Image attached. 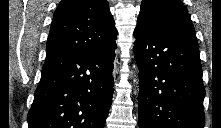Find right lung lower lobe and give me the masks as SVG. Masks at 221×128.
<instances>
[{"label": "right lung lower lobe", "instance_id": "obj_1", "mask_svg": "<svg viewBox=\"0 0 221 128\" xmlns=\"http://www.w3.org/2000/svg\"><path fill=\"white\" fill-rule=\"evenodd\" d=\"M116 42L47 59L28 128H104L113 95Z\"/></svg>", "mask_w": 221, "mask_h": 128}]
</instances>
